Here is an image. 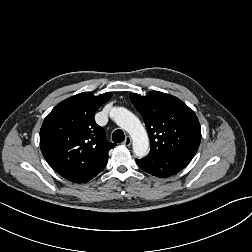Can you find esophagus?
<instances>
[{
	"label": "esophagus",
	"mask_w": 252,
	"mask_h": 252,
	"mask_svg": "<svg viewBox=\"0 0 252 252\" xmlns=\"http://www.w3.org/2000/svg\"><path fill=\"white\" fill-rule=\"evenodd\" d=\"M131 143H132L131 137H130V136H127V137L125 138L123 144H124L125 146H130Z\"/></svg>",
	"instance_id": "1"
}]
</instances>
